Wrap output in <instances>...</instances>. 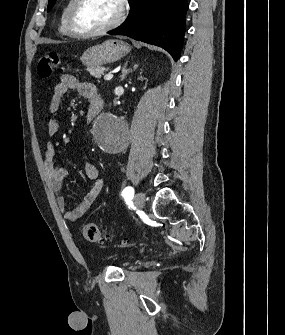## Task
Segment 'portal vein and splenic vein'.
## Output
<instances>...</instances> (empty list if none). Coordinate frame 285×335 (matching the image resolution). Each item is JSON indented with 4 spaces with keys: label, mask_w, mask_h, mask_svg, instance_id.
<instances>
[{
    "label": "portal vein and splenic vein",
    "mask_w": 285,
    "mask_h": 335,
    "mask_svg": "<svg viewBox=\"0 0 285 335\" xmlns=\"http://www.w3.org/2000/svg\"><path fill=\"white\" fill-rule=\"evenodd\" d=\"M113 78V74H106V76H104V80H112Z\"/></svg>",
    "instance_id": "18ae733b"
}]
</instances>
